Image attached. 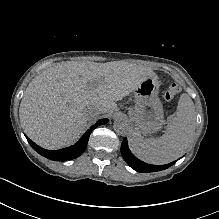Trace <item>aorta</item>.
Returning a JSON list of instances; mask_svg holds the SVG:
<instances>
[{"label": "aorta", "mask_w": 219, "mask_h": 219, "mask_svg": "<svg viewBox=\"0 0 219 219\" xmlns=\"http://www.w3.org/2000/svg\"><path fill=\"white\" fill-rule=\"evenodd\" d=\"M114 130L118 135L125 136L131 132V122L126 117H118L114 120Z\"/></svg>", "instance_id": "762f6f07"}]
</instances>
